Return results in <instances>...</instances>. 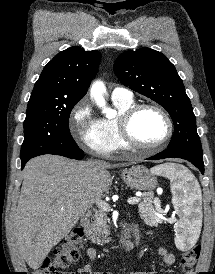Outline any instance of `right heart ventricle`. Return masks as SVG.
I'll return each mask as SVG.
<instances>
[{
	"label": "right heart ventricle",
	"instance_id": "1",
	"mask_svg": "<svg viewBox=\"0 0 215 274\" xmlns=\"http://www.w3.org/2000/svg\"><path fill=\"white\" fill-rule=\"evenodd\" d=\"M115 108L118 111V116L114 118H103L99 120V126L103 134L108 138L111 146V152L127 149L121 139L118 130V118L120 114L134 104L133 99L119 100L112 99Z\"/></svg>",
	"mask_w": 215,
	"mask_h": 274
}]
</instances>
